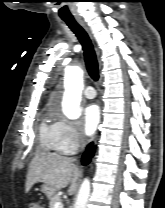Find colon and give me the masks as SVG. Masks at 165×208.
I'll return each instance as SVG.
<instances>
[{
	"instance_id": "colon-1",
	"label": "colon",
	"mask_w": 165,
	"mask_h": 208,
	"mask_svg": "<svg viewBox=\"0 0 165 208\" xmlns=\"http://www.w3.org/2000/svg\"><path fill=\"white\" fill-rule=\"evenodd\" d=\"M28 208H42L39 202L33 201L29 204Z\"/></svg>"
}]
</instances>
